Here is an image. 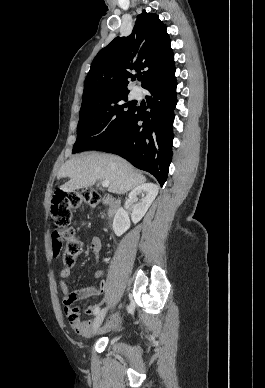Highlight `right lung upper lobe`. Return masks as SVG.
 <instances>
[{
    "label": "right lung upper lobe",
    "instance_id": "obj_1",
    "mask_svg": "<svg viewBox=\"0 0 265 388\" xmlns=\"http://www.w3.org/2000/svg\"><path fill=\"white\" fill-rule=\"evenodd\" d=\"M170 43L158 15L143 11L130 36L115 38L96 55L85 79L83 98L105 90H127L129 81L135 80L133 71H143L144 88L174 73Z\"/></svg>",
    "mask_w": 265,
    "mask_h": 388
}]
</instances>
